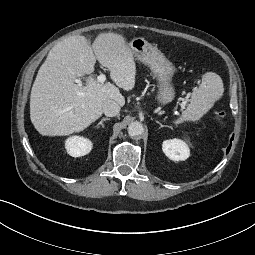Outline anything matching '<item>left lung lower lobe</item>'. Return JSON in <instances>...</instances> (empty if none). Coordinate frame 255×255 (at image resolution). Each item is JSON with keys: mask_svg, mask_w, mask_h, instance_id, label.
<instances>
[{"mask_svg": "<svg viewBox=\"0 0 255 255\" xmlns=\"http://www.w3.org/2000/svg\"><path fill=\"white\" fill-rule=\"evenodd\" d=\"M232 140H233V137L231 138V141H232ZM230 148H231V144H230V146L227 148V152H229Z\"/></svg>", "mask_w": 255, "mask_h": 255, "instance_id": "left-lung-lower-lobe-1", "label": "left lung lower lobe"}]
</instances>
